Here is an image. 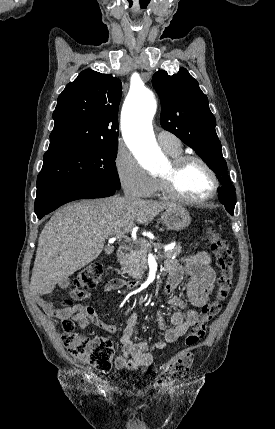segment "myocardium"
<instances>
[{
  "instance_id": "obj_1",
  "label": "myocardium",
  "mask_w": 275,
  "mask_h": 429,
  "mask_svg": "<svg viewBox=\"0 0 275 429\" xmlns=\"http://www.w3.org/2000/svg\"><path fill=\"white\" fill-rule=\"evenodd\" d=\"M190 162H197L201 164L212 179V190L204 198L194 199L186 197L182 195L176 188L177 176L184 166ZM169 165L170 167L167 173L158 175L160 188L167 197L191 205L205 204L216 197L220 187V180L215 170L205 159L195 154H180L178 156L171 157Z\"/></svg>"
}]
</instances>
